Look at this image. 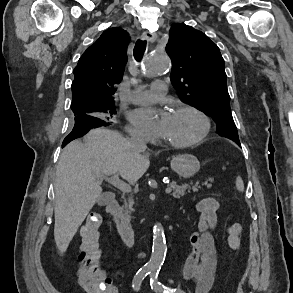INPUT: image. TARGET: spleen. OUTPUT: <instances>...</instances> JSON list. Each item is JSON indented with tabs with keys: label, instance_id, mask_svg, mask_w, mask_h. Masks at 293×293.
<instances>
[{
	"label": "spleen",
	"instance_id": "spleen-1",
	"mask_svg": "<svg viewBox=\"0 0 293 293\" xmlns=\"http://www.w3.org/2000/svg\"><path fill=\"white\" fill-rule=\"evenodd\" d=\"M236 188L238 191L243 192L244 191V183L240 176L236 178Z\"/></svg>",
	"mask_w": 293,
	"mask_h": 293
}]
</instances>
